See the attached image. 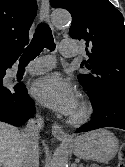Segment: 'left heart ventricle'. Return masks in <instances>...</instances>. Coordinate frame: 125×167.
I'll use <instances>...</instances> for the list:
<instances>
[{"label":"left heart ventricle","mask_w":125,"mask_h":167,"mask_svg":"<svg viewBox=\"0 0 125 167\" xmlns=\"http://www.w3.org/2000/svg\"><path fill=\"white\" fill-rule=\"evenodd\" d=\"M77 111V108L74 110V112L73 113H75Z\"/></svg>","instance_id":"obj_1"}]
</instances>
